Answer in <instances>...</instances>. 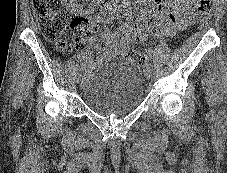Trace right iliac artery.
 <instances>
[{"label":"right iliac artery","instance_id":"82829eb1","mask_svg":"<svg viewBox=\"0 0 227 173\" xmlns=\"http://www.w3.org/2000/svg\"><path fill=\"white\" fill-rule=\"evenodd\" d=\"M83 66L84 65L82 63H79L76 65V68H77V70H81V69H83Z\"/></svg>","mask_w":227,"mask_h":173}]
</instances>
